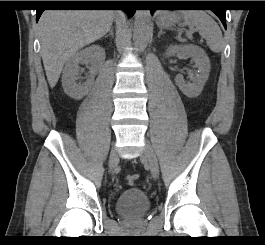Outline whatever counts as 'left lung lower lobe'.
Returning a JSON list of instances; mask_svg holds the SVG:
<instances>
[{"mask_svg": "<svg viewBox=\"0 0 265 245\" xmlns=\"http://www.w3.org/2000/svg\"><path fill=\"white\" fill-rule=\"evenodd\" d=\"M197 1H167L163 2V5L166 6H174V7H186V6H194L197 5ZM155 9L151 10L153 13ZM212 11L219 17L222 24L226 28V10L225 9H212Z\"/></svg>", "mask_w": 265, "mask_h": 245, "instance_id": "1", "label": "left lung lower lobe"}]
</instances>
